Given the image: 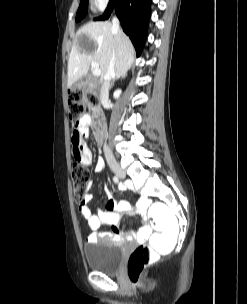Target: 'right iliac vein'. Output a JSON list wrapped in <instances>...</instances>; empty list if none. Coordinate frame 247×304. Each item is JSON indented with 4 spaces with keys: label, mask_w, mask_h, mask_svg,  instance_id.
<instances>
[{
    "label": "right iliac vein",
    "mask_w": 247,
    "mask_h": 304,
    "mask_svg": "<svg viewBox=\"0 0 247 304\" xmlns=\"http://www.w3.org/2000/svg\"><path fill=\"white\" fill-rule=\"evenodd\" d=\"M111 168L118 178L124 179L126 177L125 171L121 167H119L117 164H113L111 166Z\"/></svg>",
    "instance_id": "1"
}]
</instances>
